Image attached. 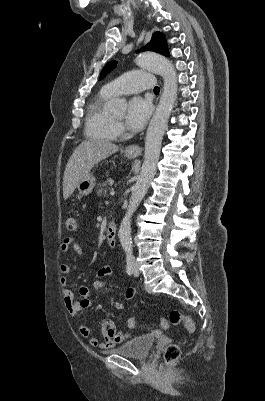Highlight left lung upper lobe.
Listing matches in <instances>:
<instances>
[{"label":"left lung upper lobe","instance_id":"5c2ea615","mask_svg":"<svg viewBox=\"0 0 265 401\" xmlns=\"http://www.w3.org/2000/svg\"><path fill=\"white\" fill-rule=\"evenodd\" d=\"M139 51H153L165 56H169L165 36L160 32H155L151 38V41ZM116 61L109 62L103 68L100 79L104 78L107 73L112 71L116 67Z\"/></svg>","mask_w":265,"mask_h":401}]
</instances>
